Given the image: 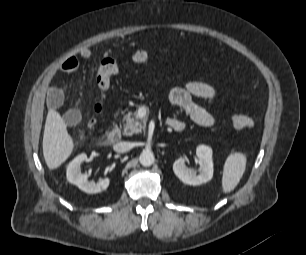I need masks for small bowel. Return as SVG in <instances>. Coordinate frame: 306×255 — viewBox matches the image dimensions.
<instances>
[{
  "instance_id": "obj_1",
  "label": "small bowel",
  "mask_w": 306,
  "mask_h": 255,
  "mask_svg": "<svg viewBox=\"0 0 306 255\" xmlns=\"http://www.w3.org/2000/svg\"><path fill=\"white\" fill-rule=\"evenodd\" d=\"M83 59L91 57L89 49H82L79 53ZM79 68V60L76 56H69L65 58L60 66L59 71L71 74ZM48 87V105L51 108H58L63 102V92L55 84V73H50L46 78ZM217 96L215 88L203 81H187L183 86L173 88L168 95L169 103L173 106L181 108L188 117L197 125L202 127H211L215 124V117L205 108L199 105L195 98H203L207 100H215ZM80 112L76 109H70L64 114V121L67 125L73 126L80 121ZM169 126L181 131L185 127V123L172 117L167 120Z\"/></svg>"
}]
</instances>
